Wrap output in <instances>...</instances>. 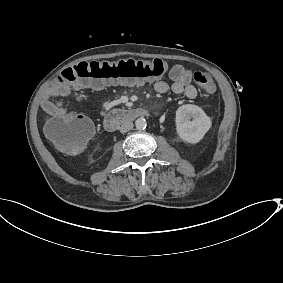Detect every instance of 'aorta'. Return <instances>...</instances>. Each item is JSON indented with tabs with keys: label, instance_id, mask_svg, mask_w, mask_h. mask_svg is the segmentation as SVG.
<instances>
[{
	"label": "aorta",
	"instance_id": "1",
	"mask_svg": "<svg viewBox=\"0 0 283 283\" xmlns=\"http://www.w3.org/2000/svg\"><path fill=\"white\" fill-rule=\"evenodd\" d=\"M135 126L137 129L139 130H142V129H145L146 126H147V122L144 118H138L136 121H135Z\"/></svg>",
	"mask_w": 283,
	"mask_h": 283
}]
</instances>
